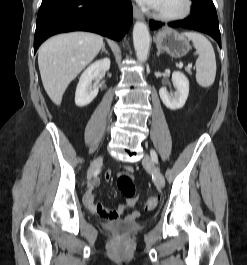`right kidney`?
I'll return each instance as SVG.
<instances>
[{"instance_id":"right-kidney-1","label":"right kidney","mask_w":247,"mask_h":265,"mask_svg":"<svg viewBox=\"0 0 247 265\" xmlns=\"http://www.w3.org/2000/svg\"><path fill=\"white\" fill-rule=\"evenodd\" d=\"M110 68V59L104 58L92 63L81 75L75 93V103L77 106H86L90 104L97 96L98 76L101 72L108 71ZM96 83L92 85V81Z\"/></svg>"}]
</instances>
